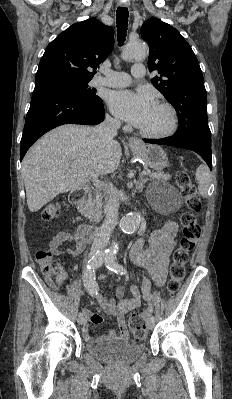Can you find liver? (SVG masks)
I'll return each instance as SVG.
<instances>
[{"label":"liver","instance_id":"6515ba94","mask_svg":"<svg viewBox=\"0 0 232 399\" xmlns=\"http://www.w3.org/2000/svg\"><path fill=\"white\" fill-rule=\"evenodd\" d=\"M122 156L118 142L103 144L96 128L60 126L42 136L22 162L27 205L38 211L63 192H75L87 182L112 174Z\"/></svg>","mask_w":232,"mask_h":399}]
</instances>
